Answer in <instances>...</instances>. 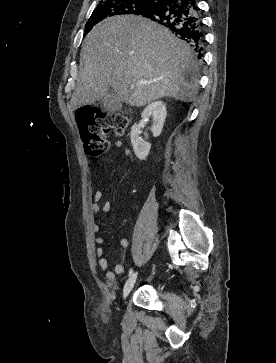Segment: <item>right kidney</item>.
Wrapping results in <instances>:
<instances>
[{"label": "right kidney", "mask_w": 276, "mask_h": 363, "mask_svg": "<svg viewBox=\"0 0 276 363\" xmlns=\"http://www.w3.org/2000/svg\"><path fill=\"white\" fill-rule=\"evenodd\" d=\"M167 115L166 105L162 101L150 103L142 112L143 119L153 118L152 133L154 137H158L163 129ZM140 125L134 124L131 129V144L134 153L140 160H145L151 149V144L144 141L141 136Z\"/></svg>", "instance_id": "obj_1"}]
</instances>
